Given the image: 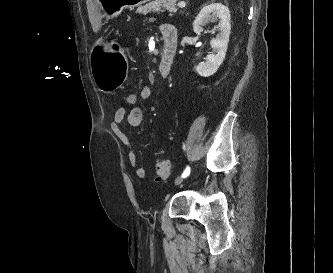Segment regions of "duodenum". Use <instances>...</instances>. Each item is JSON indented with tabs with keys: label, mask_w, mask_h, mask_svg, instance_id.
Masks as SVG:
<instances>
[{
	"label": "duodenum",
	"mask_w": 333,
	"mask_h": 273,
	"mask_svg": "<svg viewBox=\"0 0 333 273\" xmlns=\"http://www.w3.org/2000/svg\"><path fill=\"white\" fill-rule=\"evenodd\" d=\"M163 53L159 64V73L163 78L170 75L178 46V32L170 24H165L162 30Z\"/></svg>",
	"instance_id": "obj_1"
}]
</instances>
